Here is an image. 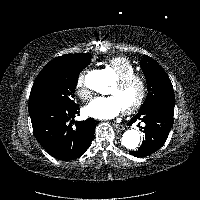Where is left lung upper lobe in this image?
Wrapping results in <instances>:
<instances>
[{
    "mask_svg": "<svg viewBox=\"0 0 200 200\" xmlns=\"http://www.w3.org/2000/svg\"><path fill=\"white\" fill-rule=\"evenodd\" d=\"M141 68L147 80L148 94L140 111L149 105L175 104L172 83L162 67L151 57L144 55L140 62Z\"/></svg>",
    "mask_w": 200,
    "mask_h": 200,
    "instance_id": "1",
    "label": "left lung upper lobe"
}]
</instances>
